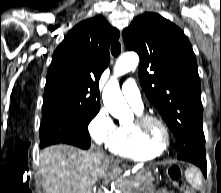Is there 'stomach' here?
<instances>
[{"label":"stomach","mask_w":221,"mask_h":193,"mask_svg":"<svg viewBox=\"0 0 221 193\" xmlns=\"http://www.w3.org/2000/svg\"><path fill=\"white\" fill-rule=\"evenodd\" d=\"M140 174H144V179H157V174H147V169H140Z\"/></svg>","instance_id":"stomach-1"}]
</instances>
